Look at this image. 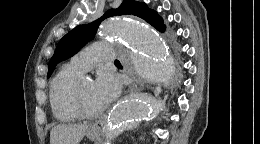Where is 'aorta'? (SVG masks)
<instances>
[{"mask_svg":"<svg viewBox=\"0 0 260 144\" xmlns=\"http://www.w3.org/2000/svg\"><path fill=\"white\" fill-rule=\"evenodd\" d=\"M103 34L124 46L120 58L142 79L151 83L169 82L174 64L165 41L152 26L136 18H116L105 22ZM158 105V100L145 93L125 98L113 109L108 119L109 128L113 134L135 128L150 120Z\"/></svg>","mask_w":260,"mask_h":144,"instance_id":"aorta-1","label":"aorta"}]
</instances>
